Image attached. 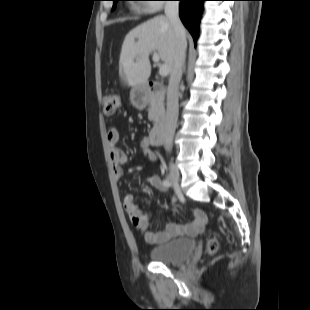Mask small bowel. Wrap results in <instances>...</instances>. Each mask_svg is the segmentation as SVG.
Instances as JSON below:
<instances>
[{
	"label": "small bowel",
	"mask_w": 310,
	"mask_h": 310,
	"mask_svg": "<svg viewBox=\"0 0 310 310\" xmlns=\"http://www.w3.org/2000/svg\"><path fill=\"white\" fill-rule=\"evenodd\" d=\"M107 140L115 179L120 180L123 173V167L128 162V157L117 146L118 131L115 127H110L108 129ZM138 144L142 152L149 158L150 161H157L158 155L155 151L150 149L149 139L146 136H141L138 139ZM138 182H147L161 191L167 190V187L163 184L162 179L158 175L149 176L144 180H138ZM172 200L176 201V198L174 197ZM122 204L126 212L129 214L134 227L138 231L144 233L145 240L150 244H162L181 234H197L204 229L207 223L205 213L201 210H195L193 212V221L190 224L184 226L176 223H167L162 229L153 231L150 228L149 214L141 209L140 205L134 200V197L131 194L124 195Z\"/></svg>",
	"instance_id": "1"
}]
</instances>
